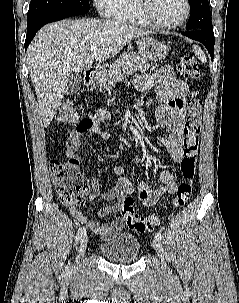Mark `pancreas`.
Instances as JSON below:
<instances>
[{
    "label": "pancreas",
    "instance_id": "cf45deb5",
    "mask_svg": "<svg viewBox=\"0 0 239 303\" xmlns=\"http://www.w3.org/2000/svg\"><path fill=\"white\" fill-rule=\"evenodd\" d=\"M152 67L146 59L140 58L134 52H124L120 57L110 65L104 72L103 82L113 86L117 81L135 73L136 71H146Z\"/></svg>",
    "mask_w": 239,
    "mask_h": 303
}]
</instances>
